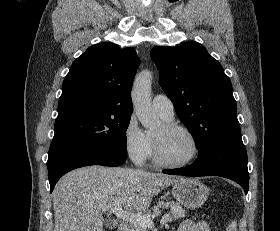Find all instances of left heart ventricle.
<instances>
[{
  "mask_svg": "<svg viewBox=\"0 0 280 231\" xmlns=\"http://www.w3.org/2000/svg\"><path fill=\"white\" fill-rule=\"evenodd\" d=\"M153 137L157 139L163 156L172 162L186 161L194 154V142L183 131L167 129L163 124Z\"/></svg>",
  "mask_w": 280,
  "mask_h": 231,
  "instance_id": "obj_1",
  "label": "left heart ventricle"
}]
</instances>
